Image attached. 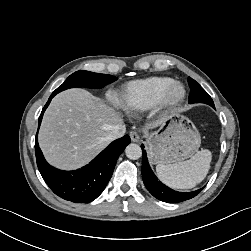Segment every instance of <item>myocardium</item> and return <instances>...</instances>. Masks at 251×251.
<instances>
[{"label": "myocardium", "mask_w": 251, "mask_h": 251, "mask_svg": "<svg viewBox=\"0 0 251 251\" xmlns=\"http://www.w3.org/2000/svg\"><path fill=\"white\" fill-rule=\"evenodd\" d=\"M176 89H179L180 93L177 96H173V92ZM185 97V86L179 81H173L161 92L156 107L163 111H171L178 107L184 101Z\"/></svg>", "instance_id": "f54148a6"}]
</instances>
